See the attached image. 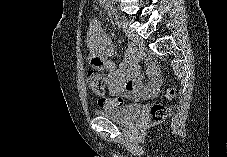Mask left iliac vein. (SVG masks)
I'll use <instances>...</instances> for the list:
<instances>
[{
  "instance_id": "1",
  "label": "left iliac vein",
  "mask_w": 227,
  "mask_h": 157,
  "mask_svg": "<svg viewBox=\"0 0 227 157\" xmlns=\"http://www.w3.org/2000/svg\"><path fill=\"white\" fill-rule=\"evenodd\" d=\"M124 28L128 27V22H123ZM126 35L131 39L132 43L137 46H143L144 40L133 32L126 30Z\"/></svg>"
}]
</instances>
